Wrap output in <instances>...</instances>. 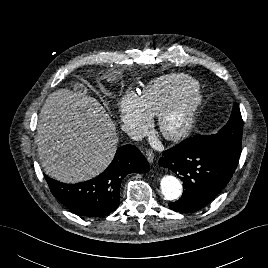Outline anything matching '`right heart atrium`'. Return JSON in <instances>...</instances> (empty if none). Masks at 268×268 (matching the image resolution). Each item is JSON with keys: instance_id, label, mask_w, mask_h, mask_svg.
<instances>
[{"instance_id": "obj_1", "label": "right heart atrium", "mask_w": 268, "mask_h": 268, "mask_svg": "<svg viewBox=\"0 0 268 268\" xmlns=\"http://www.w3.org/2000/svg\"><path fill=\"white\" fill-rule=\"evenodd\" d=\"M118 111L123 127L127 130L141 131L153 118L142 97L133 92L119 99Z\"/></svg>"}]
</instances>
